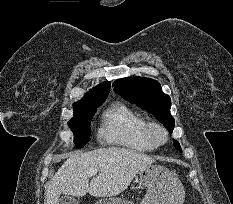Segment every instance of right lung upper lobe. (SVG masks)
Returning a JSON list of instances; mask_svg holds the SVG:
<instances>
[{"mask_svg": "<svg viewBox=\"0 0 233 204\" xmlns=\"http://www.w3.org/2000/svg\"><path fill=\"white\" fill-rule=\"evenodd\" d=\"M110 90V82L102 83L94 87L78 102L74 103V109H83L91 105L104 102Z\"/></svg>", "mask_w": 233, "mask_h": 204, "instance_id": "obj_1", "label": "right lung upper lobe"}]
</instances>
